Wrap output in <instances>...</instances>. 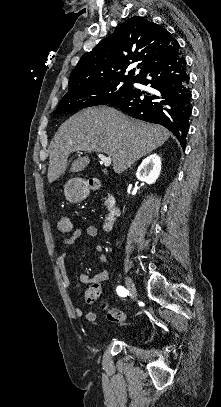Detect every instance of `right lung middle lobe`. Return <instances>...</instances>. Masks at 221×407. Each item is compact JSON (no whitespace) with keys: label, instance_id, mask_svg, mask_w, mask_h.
Wrapping results in <instances>:
<instances>
[{"label":"right lung middle lobe","instance_id":"obj_1","mask_svg":"<svg viewBox=\"0 0 221 407\" xmlns=\"http://www.w3.org/2000/svg\"><path fill=\"white\" fill-rule=\"evenodd\" d=\"M133 88V82H106L67 92L54 114L78 110L96 105H106L126 95Z\"/></svg>","mask_w":221,"mask_h":407}]
</instances>
